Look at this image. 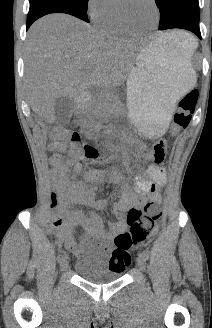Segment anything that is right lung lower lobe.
<instances>
[{"mask_svg":"<svg viewBox=\"0 0 212 328\" xmlns=\"http://www.w3.org/2000/svg\"><path fill=\"white\" fill-rule=\"evenodd\" d=\"M50 13H66L89 22L86 11L65 0H37L30 3L27 29L38 18Z\"/></svg>","mask_w":212,"mask_h":328,"instance_id":"obj_1","label":"right lung lower lobe"}]
</instances>
